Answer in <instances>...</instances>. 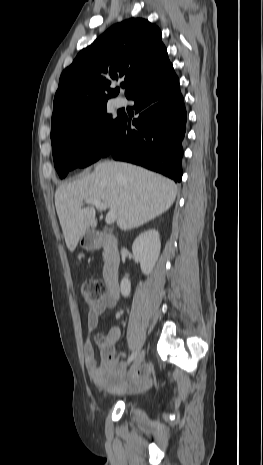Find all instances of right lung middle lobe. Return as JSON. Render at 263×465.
Listing matches in <instances>:
<instances>
[{
    "mask_svg": "<svg viewBox=\"0 0 263 465\" xmlns=\"http://www.w3.org/2000/svg\"><path fill=\"white\" fill-rule=\"evenodd\" d=\"M107 102L74 110L52 123L51 142L55 168L64 178L77 167H86L102 157L116 130V119L107 113Z\"/></svg>",
    "mask_w": 263,
    "mask_h": 465,
    "instance_id": "obj_1",
    "label": "right lung middle lobe"
}]
</instances>
